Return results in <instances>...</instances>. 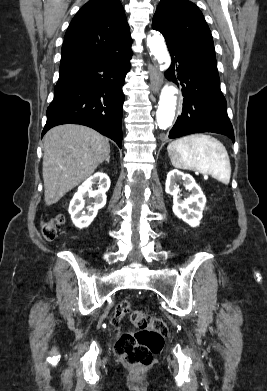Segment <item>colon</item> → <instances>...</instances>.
I'll list each match as a JSON object with an SVG mask.
<instances>
[{
	"label": "colon",
	"instance_id": "5ec220e1",
	"mask_svg": "<svg viewBox=\"0 0 267 391\" xmlns=\"http://www.w3.org/2000/svg\"><path fill=\"white\" fill-rule=\"evenodd\" d=\"M62 222L61 216L44 222L41 227L43 237L48 241L54 240ZM127 316L137 330L125 332L119 337L115 353L129 366L146 367L163 348L168 333L167 323L160 317L132 310L128 301H121L116 306L114 320L119 322Z\"/></svg>",
	"mask_w": 267,
	"mask_h": 391
}]
</instances>
